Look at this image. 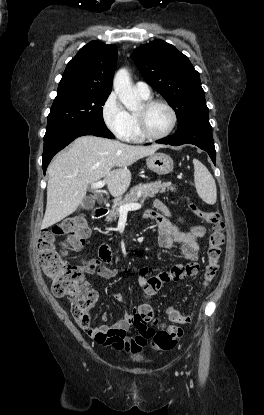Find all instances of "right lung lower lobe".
Returning a JSON list of instances; mask_svg holds the SVG:
<instances>
[{
	"label": "right lung lower lobe",
	"instance_id": "right-lung-lower-lobe-1",
	"mask_svg": "<svg viewBox=\"0 0 264 415\" xmlns=\"http://www.w3.org/2000/svg\"><path fill=\"white\" fill-rule=\"evenodd\" d=\"M84 135H94L113 139L114 135L106 126L83 125L71 128L44 139L43 171L46 173L48 164L53 156L71 143L74 139Z\"/></svg>",
	"mask_w": 264,
	"mask_h": 415
}]
</instances>
